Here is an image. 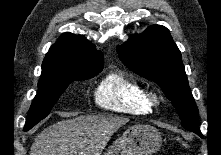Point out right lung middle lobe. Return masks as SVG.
Returning a JSON list of instances; mask_svg holds the SVG:
<instances>
[{
	"instance_id": "obj_1",
	"label": "right lung middle lobe",
	"mask_w": 221,
	"mask_h": 155,
	"mask_svg": "<svg viewBox=\"0 0 221 155\" xmlns=\"http://www.w3.org/2000/svg\"><path fill=\"white\" fill-rule=\"evenodd\" d=\"M103 66L81 67L64 71H42L38 82V93L29 109L24 131L31 129L50 113L60 95L75 80H85L96 76Z\"/></svg>"
}]
</instances>
